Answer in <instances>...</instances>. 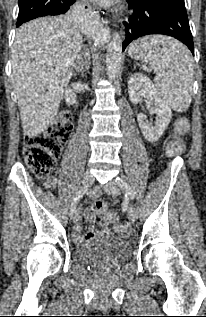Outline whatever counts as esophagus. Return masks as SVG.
Returning a JSON list of instances; mask_svg holds the SVG:
<instances>
[{
	"label": "esophagus",
	"instance_id": "esophagus-1",
	"mask_svg": "<svg viewBox=\"0 0 206 317\" xmlns=\"http://www.w3.org/2000/svg\"><path fill=\"white\" fill-rule=\"evenodd\" d=\"M104 38H109L110 37V32H109V29L104 26Z\"/></svg>",
	"mask_w": 206,
	"mask_h": 317
}]
</instances>
